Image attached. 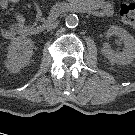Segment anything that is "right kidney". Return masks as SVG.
Here are the masks:
<instances>
[{
    "label": "right kidney",
    "mask_w": 135,
    "mask_h": 135,
    "mask_svg": "<svg viewBox=\"0 0 135 135\" xmlns=\"http://www.w3.org/2000/svg\"><path fill=\"white\" fill-rule=\"evenodd\" d=\"M33 53V42L30 38L19 36L8 46L6 68L11 73H17L28 65Z\"/></svg>",
    "instance_id": "obj_1"
}]
</instances>
